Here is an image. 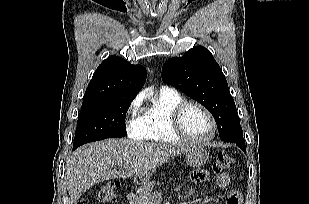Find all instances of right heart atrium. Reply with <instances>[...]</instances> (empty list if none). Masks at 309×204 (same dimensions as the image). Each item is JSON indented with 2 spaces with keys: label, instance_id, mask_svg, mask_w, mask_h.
Listing matches in <instances>:
<instances>
[{
  "label": "right heart atrium",
  "instance_id": "right-heart-atrium-1",
  "mask_svg": "<svg viewBox=\"0 0 309 204\" xmlns=\"http://www.w3.org/2000/svg\"><path fill=\"white\" fill-rule=\"evenodd\" d=\"M141 99L135 98L128 107V119L126 122L127 132L131 137L140 138L141 127L139 122V109Z\"/></svg>",
  "mask_w": 309,
  "mask_h": 204
}]
</instances>
